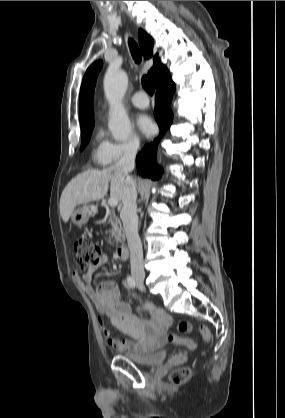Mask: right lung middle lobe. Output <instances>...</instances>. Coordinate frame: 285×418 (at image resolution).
<instances>
[{
	"instance_id": "1",
	"label": "right lung middle lobe",
	"mask_w": 285,
	"mask_h": 418,
	"mask_svg": "<svg viewBox=\"0 0 285 418\" xmlns=\"http://www.w3.org/2000/svg\"><path fill=\"white\" fill-rule=\"evenodd\" d=\"M93 127H94V123L81 128V133H82L81 150L87 145Z\"/></svg>"
}]
</instances>
